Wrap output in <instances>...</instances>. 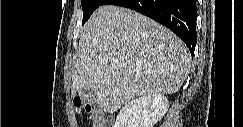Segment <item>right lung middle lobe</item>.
Listing matches in <instances>:
<instances>
[{"label": "right lung middle lobe", "mask_w": 243, "mask_h": 127, "mask_svg": "<svg viewBox=\"0 0 243 127\" xmlns=\"http://www.w3.org/2000/svg\"><path fill=\"white\" fill-rule=\"evenodd\" d=\"M106 0H81V6L83 9V21L82 24H84L92 15V13Z\"/></svg>", "instance_id": "dd1d6c3e"}]
</instances>
